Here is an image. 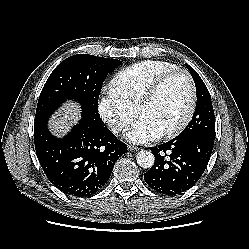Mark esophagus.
Wrapping results in <instances>:
<instances>
[{
    "instance_id": "1",
    "label": "esophagus",
    "mask_w": 249,
    "mask_h": 249,
    "mask_svg": "<svg viewBox=\"0 0 249 249\" xmlns=\"http://www.w3.org/2000/svg\"><path fill=\"white\" fill-rule=\"evenodd\" d=\"M128 150L131 152H136L139 150V147L133 146V145H129L128 146Z\"/></svg>"
}]
</instances>
